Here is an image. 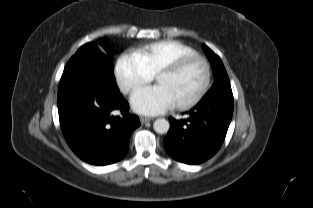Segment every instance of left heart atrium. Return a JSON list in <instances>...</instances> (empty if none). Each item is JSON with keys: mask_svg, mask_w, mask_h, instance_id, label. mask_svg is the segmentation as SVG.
<instances>
[{"mask_svg": "<svg viewBox=\"0 0 313 208\" xmlns=\"http://www.w3.org/2000/svg\"><path fill=\"white\" fill-rule=\"evenodd\" d=\"M130 101L134 111L144 115L162 114L175 105L170 93L161 85L136 90Z\"/></svg>", "mask_w": 313, "mask_h": 208, "instance_id": "1", "label": "left heart atrium"}]
</instances>
